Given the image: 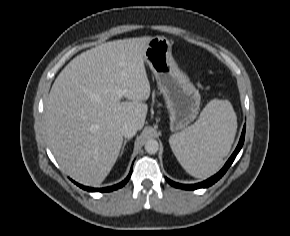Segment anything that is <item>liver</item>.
<instances>
[{
	"label": "liver",
	"mask_w": 290,
	"mask_h": 236,
	"mask_svg": "<svg viewBox=\"0 0 290 236\" xmlns=\"http://www.w3.org/2000/svg\"><path fill=\"white\" fill-rule=\"evenodd\" d=\"M150 36L114 40L71 60L57 76L45 104L50 148L74 180L98 186L114 166L124 124L144 126L150 83L144 54ZM129 101L121 102L118 97Z\"/></svg>",
	"instance_id": "1"
}]
</instances>
